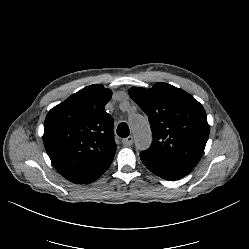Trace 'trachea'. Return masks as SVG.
I'll use <instances>...</instances> for the list:
<instances>
[{
    "mask_svg": "<svg viewBox=\"0 0 249 249\" xmlns=\"http://www.w3.org/2000/svg\"><path fill=\"white\" fill-rule=\"evenodd\" d=\"M117 134L122 138H126L127 136H129L130 130L125 122L119 124V126L117 127Z\"/></svg>",
    "mask_w": 249,
    "mask_h": 249,
    "instance_id": "3493384b",
    "label": "trachea"
}]
</instances>
